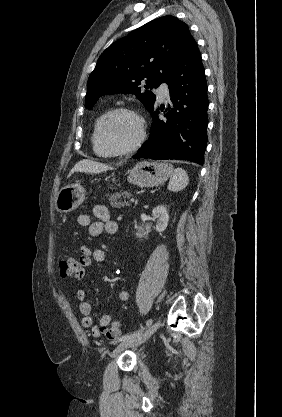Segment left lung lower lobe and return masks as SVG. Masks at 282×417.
Instances as JSON below:
<instances>
[{
	"label": "left lung lower lobe",
	"instance_id": "0a47b994",
	"mask_svg": "<svg viewBox=\"0 0 282 417\" xmlns=\"http://www.w3.org/2000/svg\"><path fill=\"white\" fill-rule=\"evenodd\" d=\"M164 82L168 84L173 108H166L164 120L159 119L157 106L149 111L153 118L150 137L133 158L180 159L202 165L207 144L208 97L195 40L180 53Z\"/></svg>",
	"mask_w": 282,
	"mask_h": 417
}]
</instances>
